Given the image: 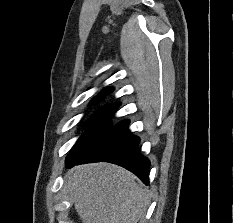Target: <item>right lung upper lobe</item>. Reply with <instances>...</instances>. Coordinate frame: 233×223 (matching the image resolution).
<instances>
[{"label": "right lung upper lobe", "instance_id": "1", "mask_svg": "<svg viewBox=\"0 0 233 223\" xmlns=\"http://www.w3.org/2000/svg\"><path fill=\"white\" fill-rule=\"evenodd\" d=\"M112 91H113V88L108 87V88L103 89L100 94H106L107 95V94L111 93Z\"/></svg>", "mask_w": 233, "mask_h": 223}]
</instances>
